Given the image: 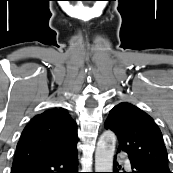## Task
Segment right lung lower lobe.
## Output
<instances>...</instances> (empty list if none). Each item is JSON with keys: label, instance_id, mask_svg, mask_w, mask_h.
<instances>
[{"label": "right lung lower lobe", "instance_id": "1", "mask_svg": "<svg viewBox=\"0 0 173 173\" xmlns=\"http://www.w3.org/2000/svg\"><path fill=\"white\" fill-rule=\"evenodd\" d=\"M11 173H79L76 148L45 158L13 163Z\"/></svg>", "mask_w": 173, "mask_h": 173}]
</instances>
